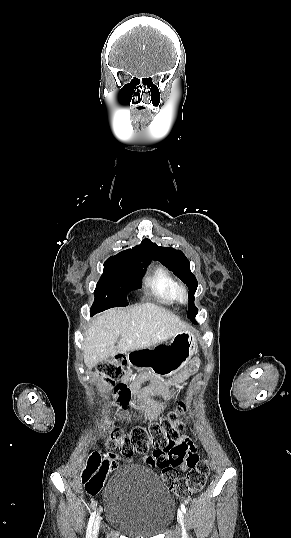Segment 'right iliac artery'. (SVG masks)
Here are the masks:
<instances>
[{
    "mask_svg": "<svg viewBox=\"0 0 291 538\" xmlns=\"http://www.w3.org/2000/svg\"><path fill=\"white\" fill-rule=\"evenodd\" d=\"M95 516H96V510L90 516V519L87 525L86 538H91L92 526H93Z\"/></svg>",
    "mask_w": 291,
    "mask_h": 538,
    "instance_id": "82829eb1",
    "label": "right iliac artery"
}]
</instances>
